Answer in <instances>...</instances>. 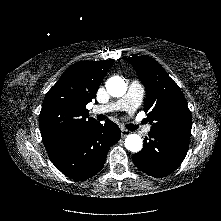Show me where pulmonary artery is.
Segmentation results:
<instances>
[{
    "label": "pulmonary artery",
    "mask_w": 221,
    "mask_h": 221,
    "mask_svg": "<svg viewBox=\"0 0 221 221\" xmlns=\"http://www.w3.org/2000/svg\"><path fill=\"white\" fill-rule=\"evenodd\" d=\"M143 95V86L139 82L134 81L130 84L127 93L121 99L106 105L96 106L93 109V112L107 113L120 110L126 111L129 114H133L137 107L140 105ZM144 130L148 132L150 130V126H146Z\"/></svg>",
    "instance_id": "pulmonary-artery-1"
}]
</instances>
